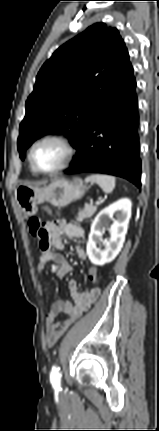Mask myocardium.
<instances>
[{"mask_svg": "<svg viewBox=\"0 0 159 431\" xmlns=\"http://www.w3.org/2000/svg\"><path fill=\"white\" fill-rule=\"evenodd\" d=\"M48 141H53V142H57V143L61 144L65 149V157L59 166H57L56 168H54L52 170L44 171V170L37 168L36 165L34 164L33 152L38 145H40L41 143H44V142H48ZM75 154H76V148L68 136L61 134V133H51V134H47V135L40 137L31 145V147L29 149V153H28V160H29L30 166L34 172H36L38 174H42V175H52V174H56V173L64 170L65 168H67L69 166V164L72 162Z\"/></svg>", "mask_w": 159, "mask_h": 431, "instance_id": "f54148a6", "label": "myocardium"}]
</instances>
